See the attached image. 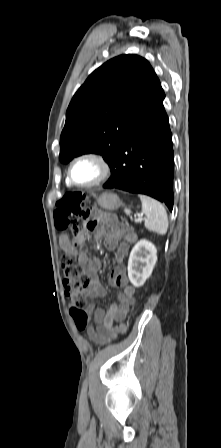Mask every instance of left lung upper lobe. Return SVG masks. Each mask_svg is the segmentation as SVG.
<instances>
[{"label": "left lung upper lobe", "instance_id": "left-lung-upper-lobe-1", "mask_svg": "<svg viewBox=\"0 0 221 448\" xmlns=\"http://www.w3.org/2000/svg\"><path fill=\"white\" fill-rule=\"evenodd\" d=\"M164 94L149 62L120 55L96 69L73 96L60 137L62 163L97 153L110 164L149 106Z\"/></svg>", "mask_w": 221, "mask_h": 448}]
</instances>
